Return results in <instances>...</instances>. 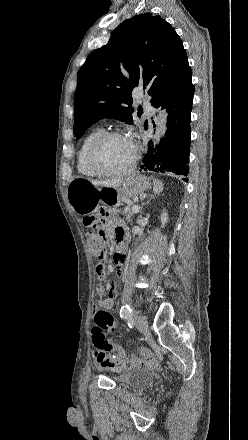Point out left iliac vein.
<instances>
[{"instance_id": "4c4485c4", "label": "left iliac vein", "mask_w": 248, "mask_h": 440, "mask_svg": "<svg viewBox=\"0 0 248 440\" xmlns=\"http://www.w3.org/2000/svg\"><path fill=\"white\" fill-rule=\"evenodd\" d=\"M134 320H135V325L139 330L144 331L147 329L148 322L145 316L136 313L134 316Z\"/></svg>"}]
</instances>
